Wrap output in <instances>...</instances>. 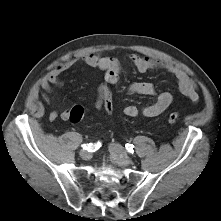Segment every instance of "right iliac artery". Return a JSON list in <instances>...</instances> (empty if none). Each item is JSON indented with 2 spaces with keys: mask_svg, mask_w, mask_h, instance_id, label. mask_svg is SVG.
<instances>
[{
  "mask_svg": "<svg viewBox=\"0 0 221 221\" xmlns=\"http://www.w3.org/2000/svg\"><path fill=\"white\" fill-rule=\"evenodd\" d=\"M100 146H101L100 142H97V143H94V144L93 143H89V144L82 145L83 149H86L89 152L97 150L98 148H100Z\"/></svg>",
  "mask_w": 221,
  "mask_h": 221,
  "instance_id": "82829eb1",
  "label": "right iliac artery"
}]
</instances>
